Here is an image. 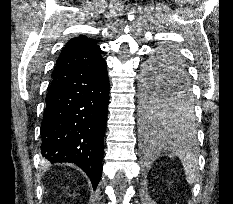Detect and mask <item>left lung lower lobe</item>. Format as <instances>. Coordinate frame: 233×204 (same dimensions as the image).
<instances>
[{
  "instance_id": "1",
  "label": "left lung lower lobe",
  "mask_w": 233,
  "mask_h": 204,
  "mask_svg": "<svg viewBox=\"0 0 233 204\" xmlns=\"http://www.w3.org/2000/svg\"><path fill=\"white\" fill-rule=\"evenodd\" d=\"M189 79H188V75H187V69L186 67L183 65L182 66V71L179 74H175L173 75L171 82L170 83H163L169 90H172L175 87H181L184 86L185 84H189ZM145 130L149 133V134H154V133H159V132H172V131H176V130H169L166 129L164 127H159L154 125L153 123H145Z\"/></svg>"
}]
</instances>
